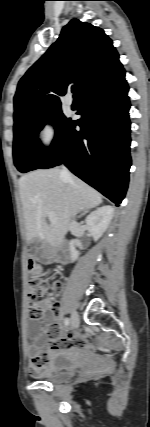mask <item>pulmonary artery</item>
<instances>
[{
	"label": "pulmonary artery",
	"mask_w": 150,
	"mask_h": 427,
	"mask_svg": "<svg viewBox=\"0 0 150 427\" xmlns=\"http://www.w3.org/2000/svg\"><path fill=\"white\" fill-rule=\"evenodd\" d=\"M65 104L71 106L73 104V98L70 94H67L64 98Z\"/></svg>",
	"instance_id": "1"
}]
</instances>
